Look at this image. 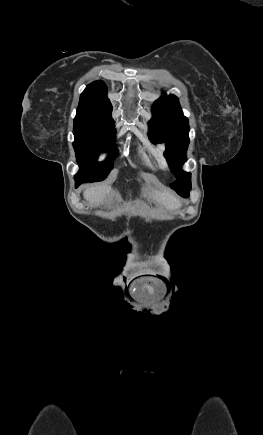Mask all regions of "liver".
Masks as SVG:
<instances>
[{
	"mask_svg": "<svg viewBox=\"0 0 263 435\" xmlns=\"http://www.w3.org/2000/svg\"><path fill=\"white\" fill-rule=\"evenodd\" d=\"M111 187L107 185L95 186L84 191L83 195L88 200L90 205H99L105 197L110 193ZM153 199L167 209H177L181 206V202L167 192L155 191Z\"/></svg>",
	"mask_w": 263,
	"mask_h": 435,
	"instance_id": "6515ba94",
	"label": "liver"
}]
</instances>
